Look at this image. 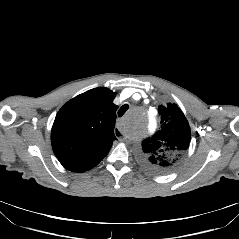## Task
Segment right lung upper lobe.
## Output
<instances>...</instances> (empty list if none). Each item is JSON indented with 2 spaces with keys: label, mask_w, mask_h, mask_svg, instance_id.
I'll list each match as a JSON object with an SVG mask.
<instances>
[{
  "label": "right lung upper lobe",
  "mask_w": 239,
  "mask_h": 239,
  "mask_svg": "<svg viewBox=\"0 0 239 239\" xmlns=\"http://www.w3.org/2000/svg\"><path fill=\"white\" fill-rule=\"evenodd\" d=\"M116 93L99 87L68 101L57 113L51 131L53 151L72 172H85L102 161L116 139Z\"/></svg>",
  "instance_id": "obj_1"
}]
</instances>
